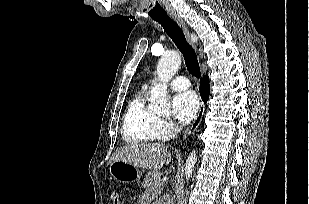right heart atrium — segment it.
<instances>
[{
  "label": "right heart atrium",
  "mask_w": 309,
  "mask_h": 204,
  "mask_svg": "<svg viewBox=\"0 0 309 204\" xmlns=\"http://www.w3.org/2000/svg\"><path fill=\"white\" fill-rule=\"evenodd\" d=\"M176 124L167 118H158L155 125V135L157 139L166 140L175 135L177 132Z\"/></svg>",
  "instance_id": "1"
}]
</instances>
